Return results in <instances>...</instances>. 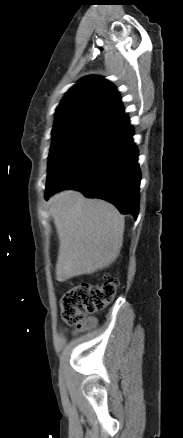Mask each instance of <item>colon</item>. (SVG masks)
I'll use <instances>...</instances> for the list:
<instances>
[{"mask_svg":"<svg viewBox=\"0 0 183 438\" xmlns=\"http://www.w3.org/2000/svg\"><path fill=\"white\" fill-rule=\"evenodd\" d=\"M118 281L107 277L103 283L82 282L67 289L61 298V315L68 325H79L89 313L104 308L115 297Z\"/></svg>","mask_w":183,"mask_h":438,"instance_id":"obj_1","label":"colon"}]
</instances>
